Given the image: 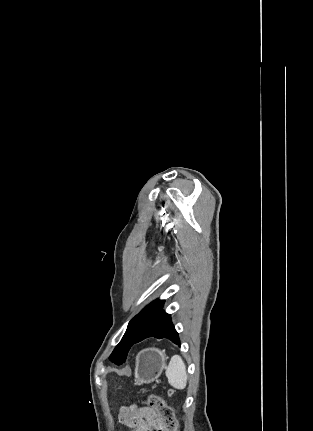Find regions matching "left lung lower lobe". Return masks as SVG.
Returning a JSON list of instances; mask_svg holds the SVG:
<instances>
[{
	"label": "left lung lower lobe",
	"instance_id": "1",
	"mask_svg": "<svg viewBox=\"0 0 313 431\" xmlns=\"http://www.w3.org/2000/svg\"><path fill=\"white\" fill-rule=\"evenodd\" d=\"M149 337L158 339L167 338L175 344H180L178 333L171 322L170 315L162 309L145 324L133 341V344Z\"/></svg>",
	"mask_w": 313,
	"mask_h": 431
}]
</instances>
